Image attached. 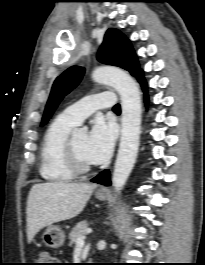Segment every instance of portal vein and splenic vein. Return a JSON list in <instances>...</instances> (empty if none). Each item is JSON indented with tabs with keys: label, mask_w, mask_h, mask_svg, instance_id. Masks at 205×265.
<instances>
[{
	"label": "portal vein and splenic vein",
	"mask_w": 205,
	"mask_h": 265,
	"mask_svg": "<svg viewBox=\"0 0 205 265\" xmlns=\"http://www.w3.org/2000/svg\"><path fill=\"white\" fill-rule=\"evenodd\" d=\"M85 238H86L85 236H81V237L77 238L76 246L77 247H82L84 245V243H85Z\"/></svg>",
	"instance_id": "1"
}]
</instances>
